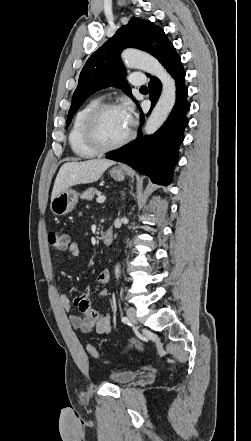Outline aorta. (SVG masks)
Masks as SVG:
<instances>
[{
	"instance_id": "1",
	"label": "aorta",
	"mask_w": 251,
	"mask_h": 441,
	"mask_svg": "<svg viewBox=\"0 0 251 441\" xmlns=\"http://www.w3.org/2000/svg\"><path fill=\"white\" fill-rule=\"evenodd\" d=\"M122 58L128 67L143 70L157 77L162 83L160 98L152 110L144 128L146 134H153L163 125L175 105V80L161 63L149 54L127 49L122 52ZM115 274L116 278H118L120 274L119 265L115 268Z\"/></svg>"
}]
</instances>
